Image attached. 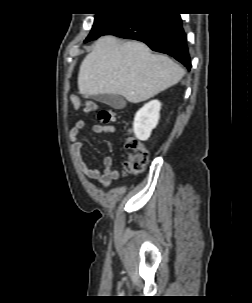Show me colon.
<instances>
[{"label":"colon","instance_id":"obj_1","mask_svg":"<svg viewBox=\"0 0 252 303\" xmlns=\"http://www.w3.org/2000/svg\"><path fill=\"white\" fill-rule=\"evenodd\" d=\"M71 104L78 110L82 104L77 96L71 98ZM97 104L93 101H87L84 105L85 110H94ZM115 113L112 110H100L98 120L103 124H108L114 120ZM125 152L127 159L123 164L124 171L129 174H135L142 171L148 159V153L144 145L129 135L125 140Z\"/></svg>","mask_w":252,"mask_h":303}]
</instances>
